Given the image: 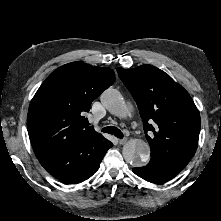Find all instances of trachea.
Returning <instances> with one entry per match:
<instances>
[{"label": "trachea", "instance_id": "trachea-1", "mask_svg": "<svg viewBox=\"0 0 221 221\" xmlns=\"http://www.w3.org/2000/svg\"><path fill=\"white\" fill-rule=\"evenodd\" d=\"M101 131L104 133L113 134L120 139L123 138V133L121 132V130H119L117 127L114 126L104 127Z\"/></svg>", "mask_w": 221, "mask_h": 221}]
</instances>
